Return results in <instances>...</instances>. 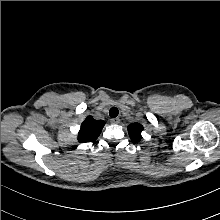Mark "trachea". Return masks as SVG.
I'll return each mask as SVG.
<instances>
[{
    "instance_id": "1",
    "label": "trachea",
    "mask_w": 220,
    "mask_h": 220,
    "mask_svg": "<svg viewBox=\"0 0 220 220\" xmlns=\"http://www.w3.org/2000/svg\"><path fill=\"white\" fill-rule=\"evenodd\" d=\"M118 114H119V111H118V109H117L116 107H112V108L110 109V111H109V115H110V117H112V118L117 117Z\"/></svg>"
}]
</instances>
